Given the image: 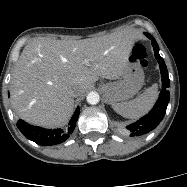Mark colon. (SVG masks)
Returning a JSON list of instances; mask_svg holds the SVG:
<instances>
[{
	"label": "colon",
	"mask_w": 187,
	"mask_h": 187,
	"mask_svg": "<svg viewBox=\"0 0 187 187\" xmlns=\"http://www.w3.org/2000/svg\"><path fill=\"white\" fill-rule=\"evenodd\" d=\"M131 60L139 63L142 67L148 66L147 51L143 44L137 43L131 53Z\"/></svg>",
	"instance_id": "obj_1"
}]
</instances>
